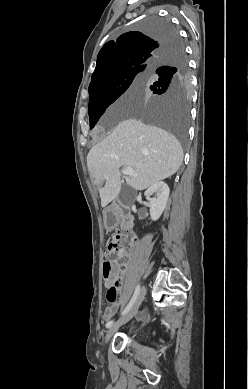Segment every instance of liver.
Wrapping results in <instances>:
<instances>
[{"label":"liver","instance_id":"obj_1","mask_svg":"<svg viewBox=\"0 0 248 389\" xmlns=\"http://www.w3.org/2000/svg\"><path fill=\"white\" fill-rule=\"evenodd\" d=\"M135 92L136 87L132 86L119 104L135 101ZM182 161L181 145L173 135L134 118L120 122L87 155L88 171L99 189L103 208L120 193V167L133 168L138 176L127 175L126 183L134 190L141 191L171 177Z\"/></svg>","mask_w":248,"mask_h":389}]
</instances>
